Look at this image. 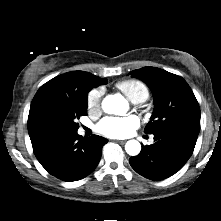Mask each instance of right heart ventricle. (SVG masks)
Masks as SVG:
<instances>
[{"instance_id": "e07e8e85", "label": "right heart ventricle", "mask_w": 221, "mask_h": 221, "mask_svg": "<svg viewBox=\"0 0 221 221\" xmlns=\"http://www.w3.org/2000/svg\"><path fill=\"white\" fill-rule=\"evenodd\" d=\"M116 87L133 102H143L149 96V90L147 86L139 80H124L118 82Z\"/></svg>"}]
</instances>
